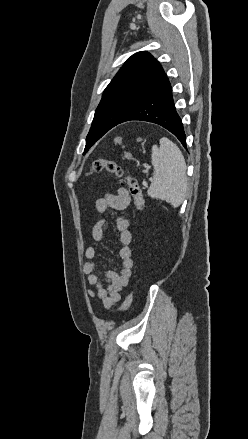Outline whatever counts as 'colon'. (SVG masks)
I'll use <instances>...</instances> for the list:
<instances>
[{
    "label": "colon",
    "mask_w": 248,
    "mask_h": 439,
    "mask_svg": "<svg viewBox=\"0 0 248 439\" xmlns=\"http://www.w3.org/2000/svg\"><path fill=\"white\" fill-rule=\"evenodd\" d=\"M93 173H101L106 171L109 175L114 176L120 180V182L126 185L129 189L131 196L133 197L134 203L138 210L144 209V198L137 180L125 172L121 165L110 159L99 158L93 161L91 168ZM133 293L129 292L122 305L121 311L125 312L128 310L132 303Z\"/></svg>",
    "instance_id": "colon-1"
}]
</instances>
